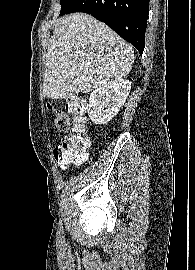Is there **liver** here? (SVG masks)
<instances>
[{
  "label": "liver",
  "instance_id": "6515ba94",
  "mask_svg": "<svg viewBox=\"0 0 195 270\" xmlns=\"http://www.w3.org/2000/svg\"><path fill=\"white\" fill-rule=\"evenodd\" d=\"M133 63L132 45L108 26L85 13L65 15L48 43L43 95L88 93L123 79Z\"/></svg>",
  "mask_w": 195,
  "mask_h": 270
}]
</instances>
